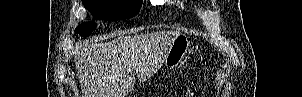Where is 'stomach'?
I'll use <instances>...</instances> for the list:
<instances>
[{
	"label": "stomach",
	"instance_id": "stomach-1",
	"mask_svg": "<svg viewBox=\"0 0 302 97\" xmlns=\"http://www.w3.org/2000/svg\"><path fill=\"white\" fill-rule=\"evenodd\" d=\"M191 50V42L188 36L180 34L177 36L164 58V66L167 69L177 68Z\"/></svg>",
	"mask_w": 302,
	"mask_h": 97
}]
</instances>
